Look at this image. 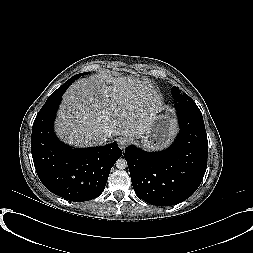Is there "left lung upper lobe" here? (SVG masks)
<instances>
[{
    "label": "left lung upper lobe",
    "instance_id": "1",
    "mask_svg": "<svg viewBox=\"0 0 253 253\" xmlns=\"http://www.w3.org/2000/svg\"><path fill=\"white\" fill-rule=\"evenodd\" d=\"M172 95L178 102L196 105L195 102L186 93H182L178 87H172Z\"/></svg>",
    "mask_w": 253,
    "mask_h": 253
}]
</instances>
